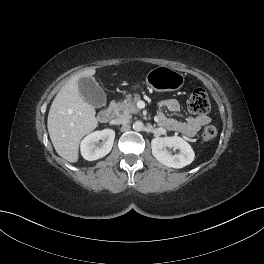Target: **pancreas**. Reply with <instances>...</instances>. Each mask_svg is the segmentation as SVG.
Masks as SVG:
<instances>
[{
    "label": "pancreas",
    "mask_w": 264,
    "mask_h": 264,
    "mask_svg": "<svg viewBox=\"0 0 264 264\" xmlns=\"http://www.w3.org/2000/svg\"><path fill=\"white\" fill-rule=\"evenodd\" d=\"M140 100L139 95H135L133 98L128 96L124 101L117 102L114 106V110L117 115H126L139 113V109L136 106V103Z\"/></svg>",
    "instance_id": "cf45deb5"
}]
</instances>
